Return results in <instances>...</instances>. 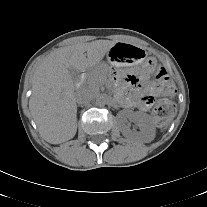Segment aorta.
I'll list each match as a JSON object with an SVG mask.
<instances>
[{"mask_svg":"<svg viewBox=\"0 0 207 207\" xmlns=\"http://www.w3.org/2000/svg\"><path fill=\"white\" fill-rule=\"evenodd\" d=\"M107 101H108V97L105 94H101L97 96L95 103L97 106L102 107L107 104Z\"/></svg>","mask_w":207,"mask_h":207,"instance_id":"762f6f07","label":"aorta"}]
</instances>
